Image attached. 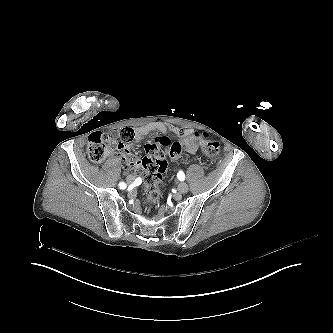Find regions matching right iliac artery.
Masks as SVG:
<instances>
[{
    "mask_svg": "<svg viewBox=\"0 0 333 333\" xmlns=\"http://www.w3.org/2000/svg\"><path fill=\"white\" fill-rule=\"evenodd\" d=\"M119 187H120V189H125V188H126V184L123 183V182H121V183L119 184Z\"/></svg>",
    "mask_w": 333,
    "mask_h": 333,
    "instance_id": "1",
    "label": "right iliac artery"
}]
</instances>
